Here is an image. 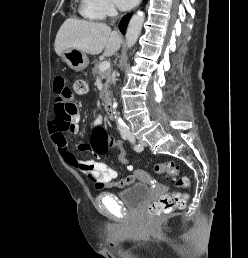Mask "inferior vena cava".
Masks as SVG:
<instances>
[{
    "label": "inferior vena cava",
    "instance_id": "602c4592",
    "mask_svg": "<svg viewBox=\"0 0 248 258\" xmlns=\"http://www.w3.org/2000/svg\"><path fill=\"white\" fill-rule=\"evenodd\" d=\"M110 15L111 16H117L118 15V12H117V10L115 9L114 6H111V8H110Z\"/></svg>",
    "mask_w": 248,
    "mask_h": 258
}]
</instances>
